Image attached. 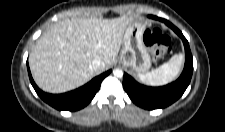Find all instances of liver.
<instances>
[{
  "instance_id": "obj_1",
  "label": "liver",
  "mask_w": 225,
  "mask_h": 132,
  "mask_svg": "<svg viewBox=\"0 0 225 132\" xmlns=\"http://www.w3.org/2000/svg\"><path fill=\"white\" fill-rule=\"evenodd\" d=\"M135 19L72 18L57 22L36 41L29 66L43 91L63 93L99 74L89 68L95 58L109 69L119 53L126 27ZM103 70V71H104Z\"/></svg>"
}]
</instances>
